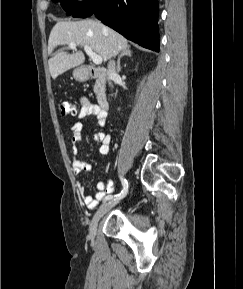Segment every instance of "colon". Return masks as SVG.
<instances>
[{
  "label": "colon",
  "mask_w": 243,
  "mask_h": 289,
  "mask_svg": "<svg viewBox=\"0 0 243 289\" xmlns=\"http://www.w3.org/2000/svg\"><path fill=\"white\" fill-rule=\"evenodd\" d=\"M59 109L63 116L74 115L76 113L75 104L67 100L60 102Z\"/></svg>",
  "instance_id": "1"
}]
</instances>
